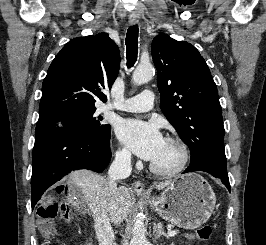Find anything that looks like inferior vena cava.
Here are the masks:
<instances>
[{
	"mask_svg": "<svg viewBox=\"0 0 266 245\" xmlns=\"http://www.w3.org/2000/svg\"><path fill=\"white\" fill-rule=\"evenodd\" d=\"M131 171V153L129 151L116 153V157L108 171V183L102 191H99L98 201L94 203L96 207L92 211L95 221L94 229L99 245H114V233L109 219V211H111L112 205L109 201L114 199L116 195L117 181L130 177Z\"/></svg>",
	"mask_w": 266,
	"mask_h": 245,
	"instance_id": "inferior-vena-cava-1",
	"label": "inferior vena cava"
}]
</instances>
